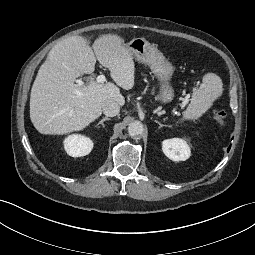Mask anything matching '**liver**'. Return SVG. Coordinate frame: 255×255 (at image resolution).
<instances>
[{
    "label": "liver",
    "instance_id": "liver-1",
    "mask_svg": "<svg viewBox=\"0 0 255 255\" xmlns=\"http://www.w3.org/2000/svg\"><path fill=\"white\" fill-rule=\"evenodd\" d=\"M96 60L110 70L114 83L89 80L75 84L83 74L94 72ZM135 64L124 39L101 34L92 47L86 38L72 36L57 43L41 65L30 94V119L41 134L79 131L102 114V103L113 100L123 106L119 87L134 86Z\"/></svg>",
    "mask_w": 255,
    "mask_h": 255
}]
</instances>
